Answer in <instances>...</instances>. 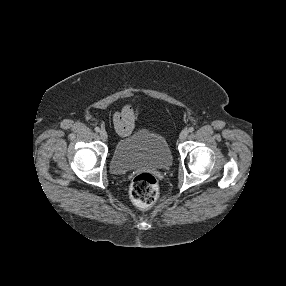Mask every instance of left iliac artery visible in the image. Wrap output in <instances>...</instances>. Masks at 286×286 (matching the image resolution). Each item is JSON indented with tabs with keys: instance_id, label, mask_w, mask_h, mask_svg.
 I'll return each instance as SVG.
<instances>
[{
	"instance_id": "obj_1",
	"label": "left iliac artery",
	"mask_w": 286,
	"mask_h": 286,
	"mask_svg": "<svg viewBox=\"0 0 286 286\" xmlns=\"http://www.w3.org/2000/svg\"><path fill=\"white\" fill-rule=\"evenodd\" d=\"M193 131H194V127H190L189 132H193Z\"/></svg>"
}]
</instances>
